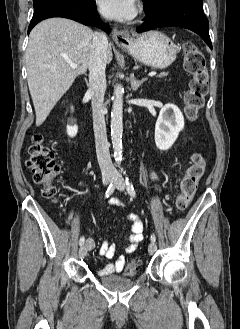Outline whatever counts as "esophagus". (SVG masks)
<instances>
[{
  "mask_svg": "<svg viewBox=\"0 0 240 329\" xmlns=\"http://www.w3.org/2000/svg\"><path fill=\"white\" fill-rule=\"evenodd\" d=\"M112 36L115 43L122 48L129 47L132 43V38L130 34L126 31H120L116 28L112 31Z\"/></svg>",
  "mask_w": 240,
  "mask_h": 329,
  "instance_id": "esophagus-1",
  "label": "esophagus"
}]
</instances>
